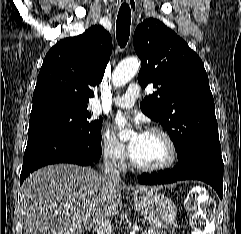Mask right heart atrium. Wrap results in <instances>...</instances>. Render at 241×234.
I'll return each instance as SVG.
<instances>
[{"label": "right heart atrium", "mask_w": 241, "mask_h": 234, "mask_svg": "<svg viewBox=\"0 0 241 234\" xmlns=\"http://www.w3.org/2000/svg\"><path fill=\"white\" fill-rule=\"evenodd\" d=\"M100 146L106 160L118 166L124 165L128 150L126 145L113 132L108 129L102 131Z\"/></svg>", "instance_id": "obj_1"}]
</instances>
